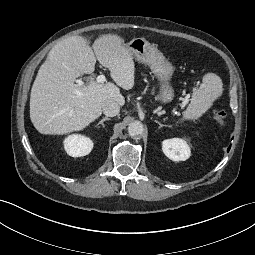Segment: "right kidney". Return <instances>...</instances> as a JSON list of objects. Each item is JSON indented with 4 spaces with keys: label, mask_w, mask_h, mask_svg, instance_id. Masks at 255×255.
Wrapping results in <instances>:
<instances>
[{
    "label": "right kidney",
    "mask_w": 255,
    "mask_h": 255,
    "mask_svg": "<svg viewBox=\"0 0 255 255\" xmlns=\"http://www.w3.org/2000/svg\"><path fill=\"white\" fill-rule=\"evenodd\" d=\"M63 143L67 154L72 157L85 156L89 154L93 148L92 140L81 134L70 135Z\"/></svg>",
    "instance_id": "obj_1"
}]
</instances>
